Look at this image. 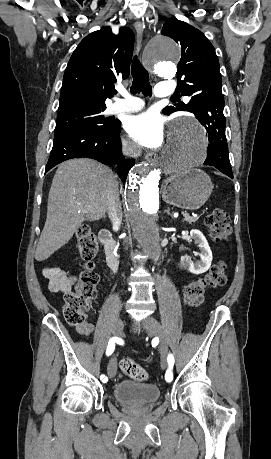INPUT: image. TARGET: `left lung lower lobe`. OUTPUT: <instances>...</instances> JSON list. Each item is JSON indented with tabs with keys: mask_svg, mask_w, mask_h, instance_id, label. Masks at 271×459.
<instances>
[{
	"mask_svg": "<svg viewBox=\"0 0 271 459\" xmlns=\"http://www.w3.org/2000/svg\"><path fill=\"white\" fill-rule=\"evenodd\" d=\"M199 121L205 127L209 139L207 159L204 165L214 166L233 178L229 161L228 144L225 136L226 119L218 116Z\"/></svg>",
	"mask_w": 271,
	"mask_h": 459,
	"instance_id": "obj_1",
	"label": "left lung lower lobe"
}]
</instances>
